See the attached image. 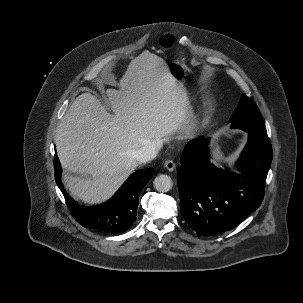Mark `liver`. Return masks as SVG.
I'll return each mask as SVG.
<instances>
[{
    "mask_svg": "<svg viewBox=\"0 0 303 303\" xmlns=\"http://www.w3.org/2000/svg\"><path fill=\"white\" fill-rule=\"evenodd\" d=\"M119 87L106 91L114 115L94 95L83 93L57 128L62 166L81 175L65 174L63 181L84 203L112 196L137 168V150L149 141H169L187 124V93L157 55L144 51L134 58Z\"/></svg>",
    "mask_w": 303,
    "mask_h": 303,
    "instance_id": "6515ba94",
    "label": "liver"
}]
</instances>
